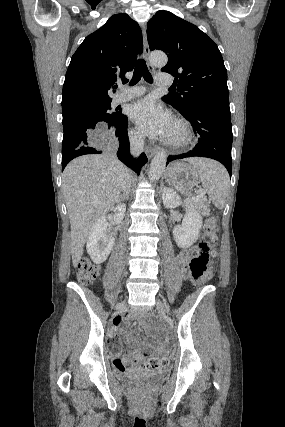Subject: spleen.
<instances>
[{
	"label": "spleen",
	"mask_w": 285,
	"mask_h": 427,
	"mask_svg": "<svg viewBox=\"0 0 285 427\" xmlns=\"http://www.w3.org/2000/svg\"><path fill=\"white\" fill-rule=\"evenodd\" d=\"M190 163L197 170L202 186L212 199L213 204L217 208L223 209L230 189V178L227 170L212 160Z\"/></svg>",
	"instance_id": "spleen-1"
}]
</instances>
